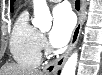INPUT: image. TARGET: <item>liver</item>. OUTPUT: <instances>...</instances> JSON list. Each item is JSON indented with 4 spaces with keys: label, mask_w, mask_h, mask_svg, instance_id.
Segmentation results:
<instances>
[{
    "label": "liver",
    "mask_w": 102,
    "mask_h": 75,
    "mask_svg": "<svg viewBox=\"0 0 102 75\" xmlns=\"http://www.w3.org/2000/svg\"><path fill=\"white\" fill-rule=\"evenodd\" d=\"M0 75H44L40 70L28 69L17 64H5L0 68Z\"/></svg>",
    "instance_id": "liver-1"
}]
</instances>
